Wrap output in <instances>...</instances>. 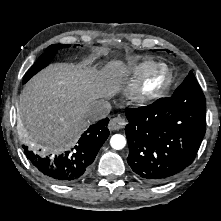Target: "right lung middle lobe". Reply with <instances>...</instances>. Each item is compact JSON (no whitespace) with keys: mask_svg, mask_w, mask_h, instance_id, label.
<instances>
[{"mask_svg":"<svg viewBox=\"0 0 221 221\" xmlns=\"http://www.w3.org/2000/svg\"><path fill=\"white\" fill-rule=\"evenodd\" d=\"M69 45H63V44H54L50 45L45 52L38 58V60L35 62V64L28 70L26 73L23 83L27 82L33 75H35L38 71H40L42 68L46 67L53 57L55 56L56 52L59 49L68 47Z\"/></svg>","mask_w":221,"mask_h":221,"instance_id":"dd1d6c3e","label":"right lung middle lobe"}]
</instances>
